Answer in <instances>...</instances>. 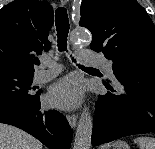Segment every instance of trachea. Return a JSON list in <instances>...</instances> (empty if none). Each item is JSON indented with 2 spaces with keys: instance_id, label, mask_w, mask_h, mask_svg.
I'll return each instance as SVG.
<instances>
[{
  "instance_id": "obj_1",
  "label": "trachea",
  "mask_w": 155,
  "mask_h": 149,
  "mask_svg": "<svg viewBox=\"0 0 155 149\" xmlns=\"http://www.w3.org/2000/svg\"><path fill=\"white\" fill-rule=\"evenodd\" d=\"M55 18H56V30H57V37H58V48L59 51H64L66 50L67 47V36L69 32V20H68V15H67V10L65 7L61 6L56 9L55 13ZM73 61H75L73 59ZM80 68L83 69H95L91 67H84V66H79Z\"/></svg>"
}]
</instances>
